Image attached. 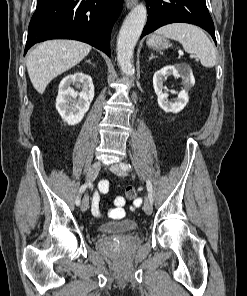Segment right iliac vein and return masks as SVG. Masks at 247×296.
Returning <instances> with one entry per match:
<instances>
[{"mask_svg":"<svg viewBox=\"0 0 247 296\" xmlns=\"http://www.w3.org/2000/svg\"><path fill=\"white\" fill-rule=\"evenodd\" d=\"M99 170H100V163L99 162L93 163L87 172V176H86L87 182H92L98 175ZM88 207H89V199L87 196H85L81 203V210L85 212L88 209Z\"/></svg>","mask_w":247,"mask_h":296,"instance_id":"63e3f726","label":"right iliac vein"}]
</instances>
